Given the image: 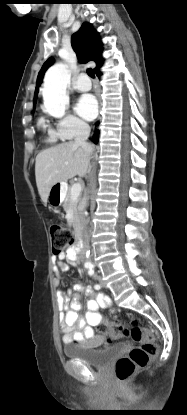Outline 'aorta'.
<instances>
[{"mask_svg": "<svg viewBox=\"0 0 187 415\" xmlns=\"http://www.w3.org/2000/svg\"><path fill=\"white\" fill-rule=\"evenodd\" d=\"M69 81L70 73L66 64L57 63L47 70L42 95L45 111L49 115L57 118L65 115L69 105V96L66 93Z\"/></svg>", "mask_w": 187, "mask_h": 415, "instance_id": "aorta-1", "label": "aorta"}]
</instances>
